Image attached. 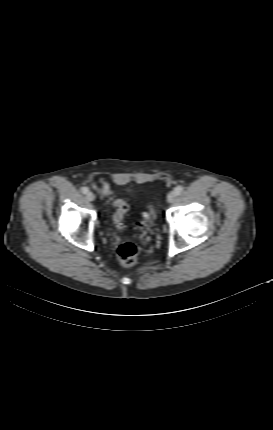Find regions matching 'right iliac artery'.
<instances>
[{"label": "right iliac artery", "mask_w": 273, "mask_h": 430, "mask_svg": "<svg viewBox=\"0 0 273 430\" xmlns=\"http://www.w3.org/2000/svg\"><path fill=\"white\" fill-rule=\"evenodd\" d=\"M81 191H82V193H83V194H86L89 190H88V188H87V187H83V188L81 189Z\"/></svg>", "instance_id": "obj_1"}]
</instances>
